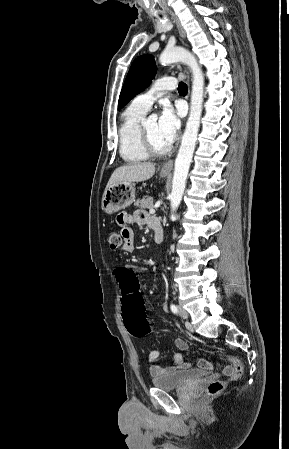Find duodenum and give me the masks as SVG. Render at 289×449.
<instances>
[{"mask_svg": "<svg viewBox=\"0 0 289 449\" xmlns=\"http://www.w3.org/2000/svg\"><path fill=\"white\" fill-rule=\"evenodd\" d=\"M154 230V239L156 243H161L163 240V229L161 224H155L153 227Z\"/></svg>", "mask_w": 289, "mask_h": 449, "instance_id": "duodenum-1", "label": "duodenum"}]
</instances>
